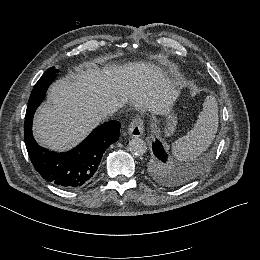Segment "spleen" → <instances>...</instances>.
I'll return each mask as SVG.
<instances>
[{
	"label": "spleen",
	"mask_w": 260,
	"mask_h": 260,
	"mask_svg": "<svg viewBox=\"0 0 260 260\" xmlns=\"http://www.w3.org/2000/svg\"><path fill=\"white\" fill-rule=\"evenodd\" d=\"M217 127V103L213 96H208L194 128L172 143V154L183 160L197 157L212 143Z\"/></svg>",
	"instance_id": "obj_1"
}]
</instances>
